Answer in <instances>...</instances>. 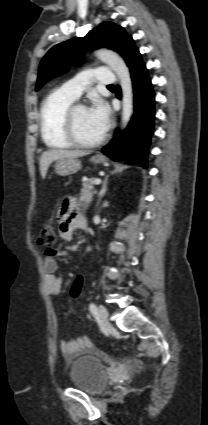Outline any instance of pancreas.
Returning <instances> with one entry per match:
<instances>
[{
  "instance_id": "pancreas-1",
  "label": "pancreas",
  "mask_w": 208,
  "mask_h": 425,
  "mask_svg": "<svg viewBox=\"0 0 208 425\" xmlns=\"http://www.w3.org/2000/svg\"><path fill=\"white\" fill-rule=\"evenodd\" d=\"M96 179L95 178H90L88 180H86L85 182H83V188L81 189V201L85 202V203H89L94 194H95V190H94V181Z\"/></svg>"
}]
</instances>
